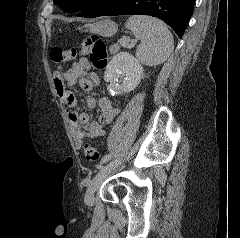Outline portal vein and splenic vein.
I'll return each mask as SVG.
<instances>
[{"label":"portal vein and splenic vein","mask_w":240,"mask_h":238,"mask_svg":"<svg viewBox=\"0 0 240 238\" xmlns=\"http://www.w3.org/2000/svg\"><path fill=\"white\" fill-rule=\"evenodd\" d=\"M129 42H130V39H123L121 41V44H122L123 47L130 48V47H132L133 42H131V44H129Z\"/></svg>","instance_id":"1"}]
</instances>
